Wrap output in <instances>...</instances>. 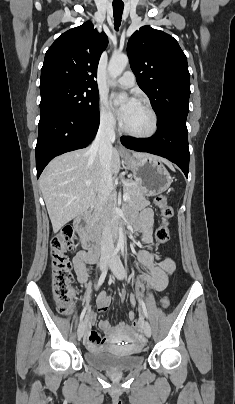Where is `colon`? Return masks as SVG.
Listing matches in <instances>:
<instances>
[{"instance_id": "colon-1", "label": "colon", "mask_w": 235, "mask_h": 404, "mask_svg": "<svg viewBox=\"0 0 235 404\" xmlns=\"http://www.w3.org/2000/svg\"><path fill=\"white\" fill-rule=\"evenodd\" d=\"M155 202L160 209L162 218L161 224L156 230V239L160 244H165L169 240V220L173 217L174 211L165 195H158ZM74 244L75 234L70 226L64 227L51 240L53 297L58 311L63 315H68L72 312L75 299V292L72 287L73 274L67 254ZM169 304V296L165 295L161 299L160 305L165 309ZM133 326L138 327L139 322L134 321Z\"/></svg>"}]
</instances>
